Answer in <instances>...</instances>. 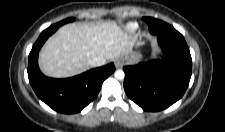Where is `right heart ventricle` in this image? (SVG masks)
<instances>
[{
  "label": "right heart ventricle",
  "mask_w": 225,
  "mask_h": 132,
  "mask_svg": "<svg viewBox=\"0 0 225 132\" xmlns=\"http://www.w3.org/2000/svg\"><path fill=\"white\" fill-rule=\"evenodd\" d=\"M138 27V24L136 22H129L127 23L125 26H124V29L127 31V32H134Z\"/></svg>",
  "instance_id": "1"
}]
</instances>
